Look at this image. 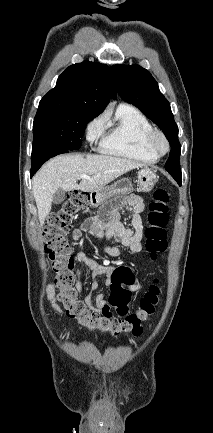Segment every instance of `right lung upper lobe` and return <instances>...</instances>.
<instances>
[{
	"mask_svg": "<svg viewBox=\"0 0 213 433\" xmlns=\"http://www.w3.org/2000/svg\"><path fill=\"white\" fill-rule=\"evenodd\" d=\"M110 98H116V91L108 66L83 61L69 66L40 103L80 107L97 116Z\"/></svg>",
	"mask_w": 213,
	"mask_h": 433,
	"instance_id": "right-lung-upper-lobe-1",
	"label": "right lung upper lobe"
}]
</instances>
